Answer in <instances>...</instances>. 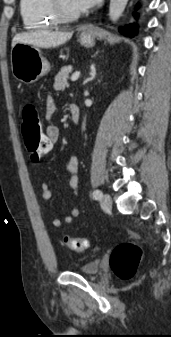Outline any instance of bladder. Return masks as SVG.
I'll return each mask as SVG.
<instances>
[{
	"label": "bladder",
	"instance_id": "obj_1",
	"mask_svg": "<svg viewBox=\"0 0 171 337\" xmlns=\"http://www.w3.org/2000/svg\"><path fill=\"white\" fill-rule=\"evenodd\" d=\"M100 270L101 264L99 261H91L78 268V272L86 276H95Z\"/></svg>",
	"mask_w": 171,
	"mask_h": 337
}]
</instances>
